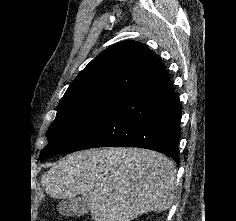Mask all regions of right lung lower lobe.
<instances>
[{"label":"right lung lower lobe","mask_w":236,"mask_h":221,"mask_svg":"<svg viewBox=\"0 0 236 221\" xmlns=\"http://www.w3.org/2000/svg\"><path fill=\"white\" fill-rule=\"evenodd\" d=\"M181 109L166 75L137 91L68 150L125 146L158 151L179 164Z\"/></svg>","instance_id":"right-lung-lower-lobe-1"}]
</instances>
